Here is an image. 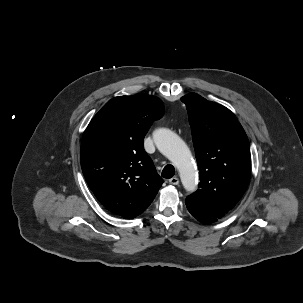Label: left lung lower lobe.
I'll return each instance as SVG.
<instances>
[{"label":"left lung lower lobe","mask_w":303,"mask_h":303,"mask_svg":"<svg viewBox=\"0 0 303 303\" xmlns=\"http://www.w3.org/2000/svg\"><path fill=\"white\" fill-rule=\"evenodd\" d=\"M186 206L188 211L201 223L210 224L218 220V218H216L212 214L205 212L197 207H194L187 202H186Z\"/></svg>","instance_id":"0a47b994"}]
</instances>
